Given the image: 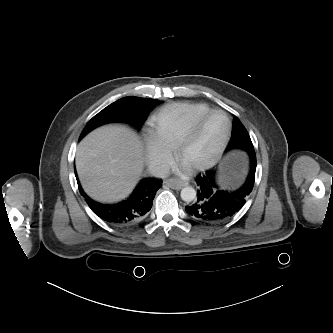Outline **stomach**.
Masks as SVG:
<instances>
[{
	"label": "stomach",
	"instance_id": "stomach-1",
	"mask_svg": "<svg viewBox=\"0 0 333 333\" xmlns=\"http://www.w3.org/2000/svg\"><path fill=\"white\" fill-rule=\"evenodd\" d=\"M246 170V157L243 154H233L220 164L219 180L225 187H235Z\"/></svg>",
	"mask_w": 333,
	"mask_h": 333
}]
</instances>
